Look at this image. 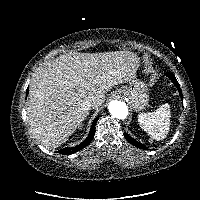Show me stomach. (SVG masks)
Returning <instances> with one entry per match:
<instances>
[{
    "mask_svg": "<svg viewBox=\"0 0 200 200\" xmlns=\"http://www.w3.org/2000/svg\"><path fill=\"white\" fill-rule=\"evenodd\" d=\"M115 95L126 98L136 111L144 109L149 100L146 84L138 79L130 81L127 85L122 86L115 92Z\"/></svg>",
    "mask_w": 200,
    "mask_h": 200,
    "instance_id": "stomach-1",
    "label": "stomach"
}]
</instances>
